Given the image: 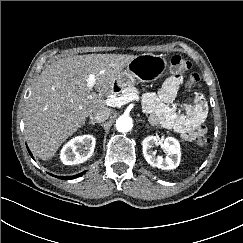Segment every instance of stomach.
Returning a JSON list of instances; mask_svg holds the SVG:
<instances>
[{"label": "stomach", "mask_w": 243, "mask_h": 243, "mask_svg": "<svg viewBox=\"0 0 243 243\" xmlns=\"http://www.w3.org/2000/svg\"><path fill=\"white\" fill-rule=\"evenodd\" d=\"M166 66L167 62L162 55L141 54L126 65V70L118 74L116 81L122 88L136 82H151L162 75Z\"/></svg>", "instance_id": "0dacf381"}]
</instances>
